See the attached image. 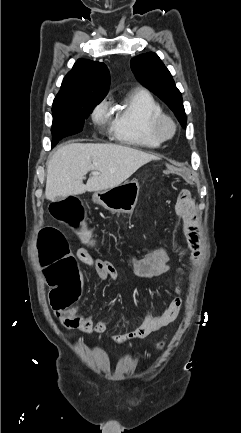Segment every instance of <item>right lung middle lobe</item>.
I'll return each instance as SVG.
<instances>
[{"instance_id": "1", "label": "right lung middle lobe", "mask_w": 241, "mask_h": 433, "mask_svg": "<svg viewBox=\"0 0 241 433\" xmlns=\"http://www.w3.org/2000/svg\"><path fill=\"white\" fill-rule=\"evenodd\" d=\"M100 102L101 100L53 102L52 147L62 138L81 132L84 120Z\"/></svg>"}]
</instances>
